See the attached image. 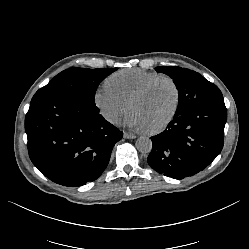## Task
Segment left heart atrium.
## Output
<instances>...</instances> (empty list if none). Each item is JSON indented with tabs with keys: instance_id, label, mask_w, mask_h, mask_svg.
Masks as SVG:
<instances>
[{
	"instance_id": "39dd6f15",
	"label": "left heart atrium",
	"mask_w": 249,
	"mask_h": 249,
	"mask_svg": "<svg viewBox=\"0 0 249 249\" xmlns=\"http://www.w3.org/2000/svg\"><path fill=\"white\" fill-rule=\"evenodd\" d=\"M122 122L133 130L142 132L147 131V128L143 124L139 114L134 110H129L122 118Z\"/></svg>"
}]
</instances>
